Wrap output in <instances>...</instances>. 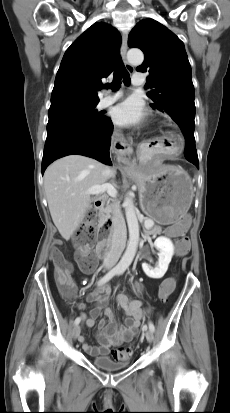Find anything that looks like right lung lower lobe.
Masks as SVG:
<instances>
[{
  "label": "right lung lower lobe",
  "instance_id": "obj_1",
  "mask_svg": "<svg viewBox=\"0 0 230 413\" xmlns=\"http://www.w3.org/2000/svg\"><path fill=\"white\" fill-rule=\"evenodd\" d=\"M112 130L111 119L104 117V122L99 125L61 126L47 132L42 174L53 161L72 154L91 157L112 165L109 155Z\"/></svg>",
  "mask_w": 230,
  "mask_h": 413
}]
</instances>
